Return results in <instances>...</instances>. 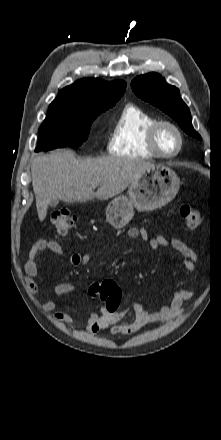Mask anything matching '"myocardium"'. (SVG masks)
Here are the masks:
<instances>
[{"label":"myocardium","instance_id":"obj_1","mask_svg":"<svg viewBox=\"0 0 221 440\" xmlns=\"http://www.w3.org/2000/svg\"><path fill=\"white\" fill-rule=\"evenodd\" d=\"M163 127H169L176 133V136L178 138V145H177V148L173 152H170V153L164 152L160 148L159 133H160L161 128H163ZM147 138H148V145H149V148L152 151V153L156 157H160L163 159H170V158L176 157L181 152V150L183 148V144H184L183 133H182L181 129L179 128V126L172 121L163 120V119L156 120L150 125V127L148 129V133H147Z\"/></svg>","mask_w":221,"mask_h":440}]
</instances>
